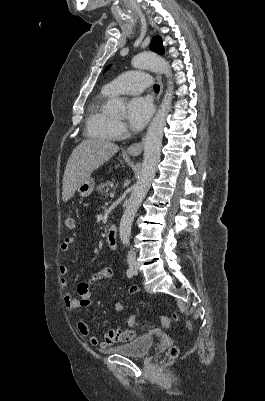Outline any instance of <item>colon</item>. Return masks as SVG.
<instances>
[{
  "instance_id": "5ec220e1",
  "label": "colon",
  "mask_w": 265,
  "mask_h": 401,
  "mask_svg": "<svg viewBox=\"0 0 265 401\" xmlns=\"http://www.w3.org/2000/svg\"><path fill=\"white\" fill-rule=\"evenodd\" d=\"M65 226L69 229V230H73L76 227V222H75V218L68 214L65 218ZM171 319L173 321H177L179 319V315L177 313H173ZM136 322V316L135 315H131L128 319V324L130 326H134ZM161 324L163 326H167L169 324V319L166 316H162L161 317ZM189 325V324H188ZM130 331V336L132 338H134L135 336V332L133 330H129ZM177 355V349L176 348H171L168 352V356L170 358H174Z\"/></svg>"
}]
</instances>
